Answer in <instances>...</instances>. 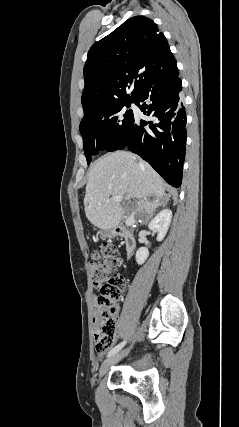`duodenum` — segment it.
<instances>
[{
  "label": "duodenum",
  "instance_id": "410a0bca",
  "mask_svg": "<svg viewBox=\"0 0 239 427\" xmlns=\"http://www.w3.org/2000/svg\"><path fill=\"white\" fill-rule=\"evenodd\" d=\"M113 234L121 236L124 242L125 253L129 256L135 249L136 239L134 232L126 226H118L113 229Z\"/></svg>",
  "mask_w": 239,
  "mask_h": 427
}]
</instances>
